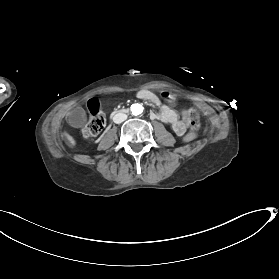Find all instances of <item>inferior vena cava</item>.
<instances>
[{"label": "inferior vena cava", "mask_w": 279, "mask_h": 279, "mask_svg": "<svg viewBox=\"0 0 279 279\" xmlns=\"http://www.w3.org/2000/svg\"><path fill=\"white\" fill-rule=\"evenodd\" d=\"M126 119H127V115L122 114V113H118V114H116V115L113 117V121H114L115 123H121V122H123V121L126 120Z\"/></svg>", "instance_id": "obj_1"}]
</instances>
